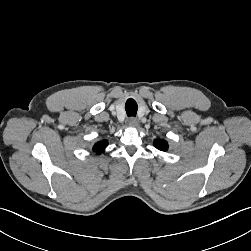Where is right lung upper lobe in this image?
<instances>
[{"instance_id": "cb5924a9", "label": "right lung upper lobe", "mask_w": 251, "mask_h": 251, "mask_svg": "<svg viewBox=\"0 0 251 251\" xmlns=\"http://www.w3.org/2000/svg\"><path fill=\"white\" fill-rule=\"evenodd\" d=\"M107 145H108L107 140L97 142L93 146V151L96 152L97 154H101V153H103L105 151V148L107 147Z\"/></svg>"}]
</instances>
